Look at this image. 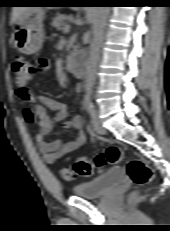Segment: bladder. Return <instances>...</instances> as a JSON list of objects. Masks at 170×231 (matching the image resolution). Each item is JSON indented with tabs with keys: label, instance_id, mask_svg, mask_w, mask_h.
<instances>
[{
	"label": "bladder",
	"instance_id": "1",
	"mask_svg": "<svg viewBox=\"0 0 170 231\" xmlns=\"http://www.w3.org/2000/svg\"><path fill=\"white\" fill-rule=\"evenodd\" d=\"M125 176L126 172L123 167H114L100 176L76 185L73 193L82 198H100L122 183Z\"/></svg>",
	"mask_w": 170,
	"mask_h": 231
}]
</instances>
